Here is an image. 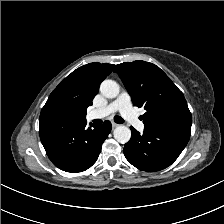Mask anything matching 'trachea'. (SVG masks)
<instances>
[{"label":"trachea","instance_id":"trachea-1","mask_svg":"<svg viewBox=\"0 0 224 224\" xmlns=\"http://www.w3.org/2000/svg\"><path fill=\"white\" fill-rule=\"evenodd\" d=\"M114 121L118 124L124 123V120L120 116H115ZM99 123H102V120H99Z\"/></svg>","mask_w":224,"mask_h":224}]
</instances>
